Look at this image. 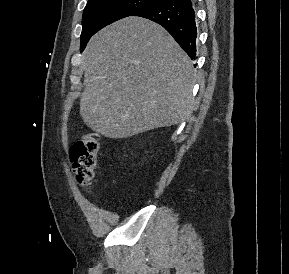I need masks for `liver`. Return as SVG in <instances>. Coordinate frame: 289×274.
Wrapping results in <instances>:
<instances>
[{
  "label": "liver",
  "instance_id": "6515ba94",
  "mask_svg": "<svg viewBox=\"0 0 289 274\" xmlns=\"http://www.w3.org/2000/svg\"><path fill=\"white\" fill-rule=\"evenodd\" d=\"M80 115L113 139L184 121L191 112L195 70L160 25L121 19L96 33L82 56Z\"/></svg>",
  "mask_w": 289,
  "mask_h": 274
}]
</instances>
